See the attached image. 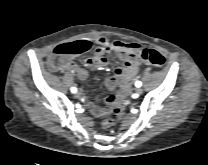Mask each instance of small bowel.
I'll return each instance as SVG.
<instances>
[{"label": "small bowel", "mask_w": 208, "mask_h": 165, "mask_svg": "<svg viewBox=\"0 0 208 165\" xmlns=\"http://www.w3.org/2000/svg\"><path fill=\"white\" fill-rule=\"evenodd\" d=\"M88 43L95 44V49L92 58L85 60L86 66L93 69H100L108 64L107 55L114 52L123 61V66L115 70L113 77H109L106 80V85L110 89H114L119 83L122 89L130 88V81L137 75L138 68L141 65V58L139 52L141 50L139 44L134 42H123L120 40L111 41L106 37H97L92 42ZM61 70L73 71L77 74L79 79H85L88 75L87 70L78 65L73 59H68L60 65ZM107 99L111 104L118 102L116 93H108ZM94 112L97 115H104L107 112V107H95Z\"/></svg>", "instance_id": "obj_1"}]
</instances>
